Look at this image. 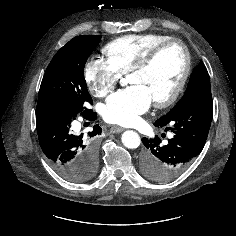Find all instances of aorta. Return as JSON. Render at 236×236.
Returning <instances> with one entry per match:
<instances>
[{"instance_id":"762f6f07","label":"aorta","mask_w":236,"mask_h":236,"mask_svg":"<svg viewBox=\"0 0 236 236\" xmlns=\"http://www.w3.org/2000/svg\"><path fill=\"white\" fill-rule=\"evenodd\" d=\"M121 140L123 145L128 149H136L141 143V139L138 133L132 130L125 131L122 134Z\"/></svg>"}]
</instances>
